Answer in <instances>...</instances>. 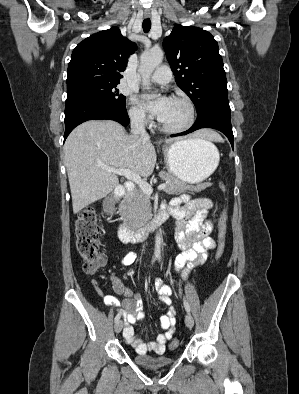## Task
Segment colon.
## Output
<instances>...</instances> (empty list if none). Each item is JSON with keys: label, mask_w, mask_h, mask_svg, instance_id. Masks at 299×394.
Wrapping results in <instances>:
<instances>
[{"label": "colon", "mask_w": 299, "mask_h": 394, "mask_svg": "<svg viewBox=\"0 0 299 394\" xmlns=\"http://www.w3.org/2000/svg\"><path fill=\"white\" fill-rule=\"evenodd\" d=\"M221 190L225 192V185L220 184ZM227 209H224L218 219V246L216 259L219 260L225 251L227 234ZM76 248L83 259V270L88 274H95L106 265V256L100 250L99 228L96 210L92 206L84 208L78 215L75 223ZM177 342H172L173 349Z\"/></svg>", "instance_id": "1"}]
</instances>
